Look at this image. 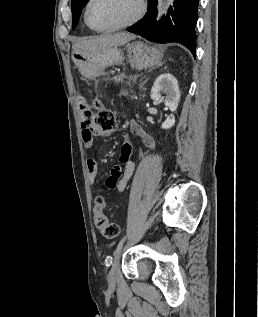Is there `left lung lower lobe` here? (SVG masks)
Returning a JSON list of instances; mask_svg holds the SVG:
<instances>
[{
  "label": "left lung lower lobe",
  "mask_w": 258,
  "mask_h": 317,
  "mask_svg": "<svg viewBox=\"0 0 258 317\" xmlns=\"http://www.w3.org/2000/svg\"><path fill=\"white\" fill-rule=\"evenodd\" d=\"M149 8L145 17L128 28L149 41L158 43L177 42L187 47L195 55L196 22L199 0H175L168 9L169 14L156 23L157 0H148Z\"/></svg>",
  "instance_id": "left-lung-lower-lobe-1"
}]
</instances>
